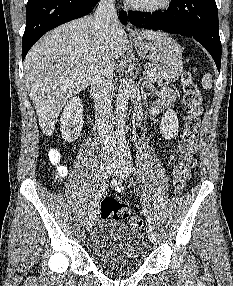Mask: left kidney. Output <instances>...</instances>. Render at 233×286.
I'll use <instances>...</instances> for the list:
<instances>
[{
  "label": "left kidney",
  "mask_w": 233,
  "mask_h": 286,
  "mask_svg": "<svg viewBox=\"0 0 233 286\" xmlns=\"http://www.w3.org/2000/svg\"><path fill=\"white\" fill-rule=\"evenodd\" d=\"M159 128L160 133L165 139H173L179 131L177 114L168 109L161 119Z\"/></svg>",
  "instance_id": "5707ae66"
}]
</instances>
